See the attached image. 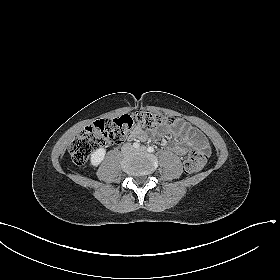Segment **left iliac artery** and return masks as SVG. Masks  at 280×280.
I'll return each mask as SVG.
<instances>
[{
    "instance_id": "left-iliac-artery-1",
    "label": "left iliac artery",
    "mask_w": 280,
    "mask_h": 280,
    "mask_svg": "<svg viewBox=\"0 0 280 280\" xmlns=\"http://www.w3.org/2000/svg\"><path fill=\"white\" fill-rule=\"evenodd\" d=\"M147 151L151 153L154 151V148L152 146H150V147H148Z\"/></svg>"
}]
</instances>
